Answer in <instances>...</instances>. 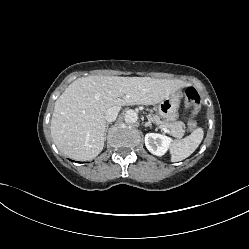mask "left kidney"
Masks as SVG:
<instances>
[{"instance_id": "left-kidney-1", "label": "left kidney", "mask_w": 249, "mask_h": 249, "mask_svg": "<svg viewBox=\"0 0 249 249\" xmlns=\"http://www.w3.org/2000/svg\"><path fill=\"white\" fill-rule=\"evenodd\" d=\"M172 139L158 133L145 135L146 148L156 156H163L171 146Z\"/></svg>"}]
</instances>
